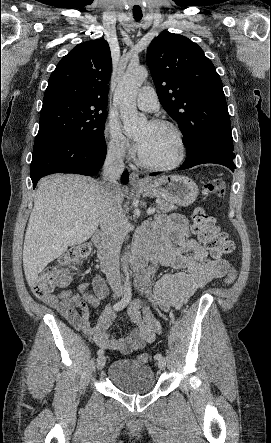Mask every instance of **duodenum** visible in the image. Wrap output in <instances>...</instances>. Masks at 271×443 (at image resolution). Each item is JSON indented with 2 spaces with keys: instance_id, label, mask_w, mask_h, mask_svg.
Listing matches in <instances>:
<instances>
[{
  "instance_id": "obj_1",
  "label": "duodenum",
  "mask_w": 271,
  "mask_h": 443,
  "mask_svg": "<svg viewBox=\"0 0 271 443\" xmlns=\"http://www.w3.org/2000/svg\"><path fill=\"white\" fill-rule=\"evenodd\" d=\"M93 242L97 248L102 271L107 275H112L115 271L117 260L114 244L105 234L102 233L95 235ZM146 259V252L138 254L134 259V269L137 271L142 269L146 263Z\"/></svg>"
}]
</instances>
